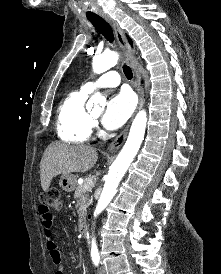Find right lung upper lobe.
Returning a JSON list of instances; mask_svg holds the SVG:
<instances>
[{
  "instance_id": "cb5924a9",
  "label": "right lung upper lobe",
  "mask_w": 221,
  "mask_h": 274,
  "mask_svg": "<svg viewBox=\"0 0 221 274\" xmlns=\"http://www.w3.org/2000/svg\"><path fill=\"white\" fill-rule=\"evenodd\" d=\"M129 43L132 45V41L129 39Z\"/></svg>"
}]
</instances>
